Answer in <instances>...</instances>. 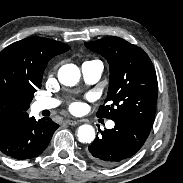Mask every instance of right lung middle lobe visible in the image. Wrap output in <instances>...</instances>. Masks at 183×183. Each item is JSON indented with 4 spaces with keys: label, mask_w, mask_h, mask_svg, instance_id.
Returning <instances> with one entry per match:
<instances>
[{
    "label": "right lung middle lobe",
    "mask_w": 183,
    "mask_h": 183,
    "mask_svg": "<svg viewBox=\"0 0 183 183\" xmlns=\"http://www.w3.org/2000/svg\"><path fill=\"white\" fill-rule=\"evenodd\" d=\"M38 88H41V86H39ZM36 91V89L31 91V98H33V93Z\"/></svg>",
    "instance_id": "obj_1"
}]
</instances>
